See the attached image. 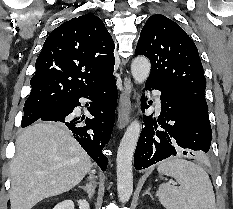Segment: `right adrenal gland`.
<instances>
[{
    "mask_svg": "<svg viewBox=\"0 0 233 209\" xmlns=\"http://www.w3.org/2000/svg\"><path fill=\"white\" fill-rule=\"evenodd\" d=\"M79 188L84 190L87 193L88 198L91 200V198L93 197V195L95 193V184L88 183L85 186H79Z\"/></svg>",
    "mask_w": 233,
    "mask_h": 209,
    "instance_id": "1",
    "label": "right adrenal gland"
}]
</instances>
